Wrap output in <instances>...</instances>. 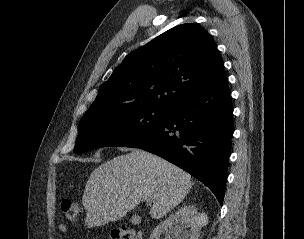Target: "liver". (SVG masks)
I'll list each match as a JSON object with an SVG mask.
<instances>
[{
	"mask_svg": "<svg viewBox=\"0 0 304 239\" xmlns=\"http://www.w3.org/2000/svg\"><path fill=\"white\" fill-rule=\"evenodd\" d=\"M191 186V176L184 170L144 150H133L91 173L82 196L85 224L92 228L117 221L145 197L152 203L150 215L161 218L185 198Z\"/></svg>",
	"mask_w": 304,
	"mask_h": 239,
	"instance_id": "1",
	"label": "liver"
}]
</instances>
